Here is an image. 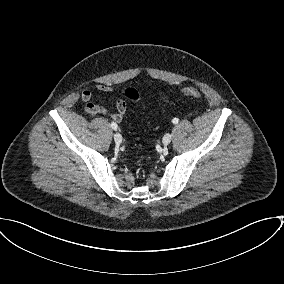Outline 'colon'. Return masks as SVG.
I'll return each mask as SVG.
<instances>
[{
    "label": "colon",
    "mask_w": 284,
    "mask_h": 284,
    "mask_svg": "<svg viewBox=\"0 0 284 284\" xmlns=\"http://www.w3.org/2000/svg\"><path fill=\"white\" fill-rule=\"evenodd\" d=\"M181 93L188 95V96H191V97L196 98V99L201 98L200 92L195 88H191V87L184 88V89L181 90ZM124 96L128 100H137L138 97H139V94L135 89L128 88L124 91Z\"/></svg>",
    "instance_id": "5ec220e1"
}]
</instances>
